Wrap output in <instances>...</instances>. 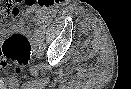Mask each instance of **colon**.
I'll use <instances>...</instances> for the list:
<instances>
[{
  "mask_svg": "<svg viewBox=\"0 0 131 89\" xmlns=\"http://www.w3.org/2000/svg\"><path fill=\"white\" fill-rule=\"evenodd\" d=\"M19 8L13 4L0 1L1 15H17ZM31 44L28 38L20 33L6 37L0 44V70L7 65H12V73L9 78L0 77V88L17 86L18 79L24 72V68L31 58Z\"/></svg>",
  "mask_w": 131,
  "mask_h": 89,
  "instance_id": "obj_1",
  "label": "colon"
}]
</instances>
